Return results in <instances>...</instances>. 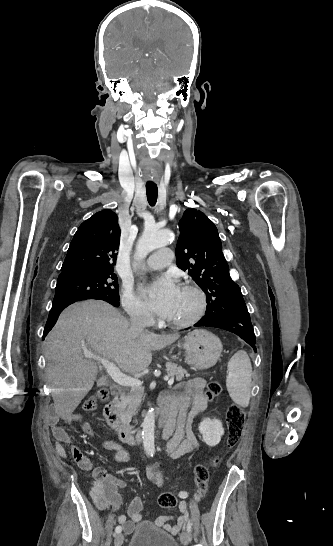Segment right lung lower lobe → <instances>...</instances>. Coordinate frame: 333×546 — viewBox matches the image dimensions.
I'll return each mask as SVG.
<instances>
[{"label":"right lung lower lobe","instance_id":"1","mask_svg":"<svg viewBox=\"0 0 333 546\" xmlns=\"http://www.w3.org/2000/svg\"><path fill=\"white\" fill-rule=\"evenodd\" d=\"M93 299H99V300H104L108 303H110L111 305L115 306V307H118L119 306V300L117 299H114V298H111V297H108V296H105V297H97V298H93ZM80 301V300H79ZM76 301H71V302H66V303H55L52 305V308L50 310V313H49V317H48V320H47V323H46V326H45V329H44V335H43V339L45 338V336L48 334V332L52 329V327L55 325L57 319H58V316L59 314L67 307L69 306L70 304L74 303Z\"/></svg>","mask_w":333,"mask_h":546}]
</instances>
